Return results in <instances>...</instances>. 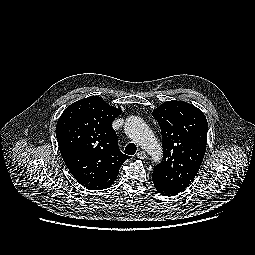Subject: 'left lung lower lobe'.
Masks as SVG:
<instances>
[{
    "mask_svg": "<svg viewBox=\"0 0 255 255\" xmlns=\"http://www.w3.org/2000/svg\"><path fill=\"white\" fill-rule=\"evenodd\" d=\"M153 183L155 185V188L158 190L159 193L166 196H174L181 192V190L170 186L157 178L156 176H152Z\"/></svg>",
    "mask_w": 255,
    "mask_h": 255,
    "instance_id": "0a47b994",
    "label": "left lung lower lobe"
}]
</instances>
